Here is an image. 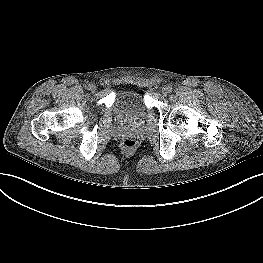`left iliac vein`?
<instances>
[{
  "mask_svg": "<svg viewBox=\"0 0 263 263\" xmlns=\"http://www.w3.org/2000/svg\"><path fill=\"white\" fill-rule=\"evenodd\" d=\"M162 93H163L164 95H166V94L169 93L167 87H164V88L162 89Z\"/></svg>",
  "mask_w": 263,
  "mask_h": 263,
  "instance_id": "1",
  "label": "left iliac vein"
}]
</instances>
